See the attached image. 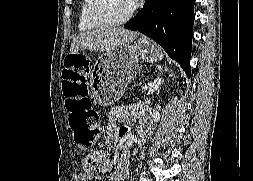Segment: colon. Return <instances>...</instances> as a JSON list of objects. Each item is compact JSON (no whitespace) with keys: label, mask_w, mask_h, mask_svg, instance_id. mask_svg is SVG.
<instances>
[{"label":"colon","mask_w":253,"mask_h":181,"mask_svg":"<svg viewBox=\"0 0 253 181\" xmlns=\"http://www.w3.org/2000/svg\"><path fill=\"white\" fill-rule=\"evenodd\" d=\"M79 63L78 55L67 57L63 72V92L75 143L81 147H90L100 136V119L98 112L92 107L85 73L80 70ZM107 163L108 155L103 150L89 151L83 157V167L92 176L100 174Z\"/></svg>","instance_id":"5ec220e1"}]
</instances>
